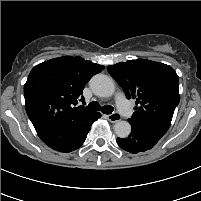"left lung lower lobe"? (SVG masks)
<instances>
[{"label":"left lung lower lobe","instance_id":"left-lung-lower-lobe-1","mask_svg":"<svg viewBox=\"0 0 201 201\" xmlns=\"http://www.w3.org/2000/svg\"><path fill=\"white\" fill-rule=\"evenodd\" d=\"M131 128V134L128 138H117L118 145L131 153L144 152L151 149L167 132V129L164 128L132 123Z\"/></svg>","mask_w":201,"mask_h":201}]
</instances>
